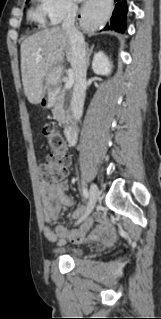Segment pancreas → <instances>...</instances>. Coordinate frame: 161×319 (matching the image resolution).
<instances>
[{
    "label": "pancreas",
    "instance_id": "pancreas-1",
    "mask_svg": "<svg viewBox=\"0 0 161 319\" xmlns=\"http://www.w3.org/2000/svg\"><path fill=\"white\" fill-rule=\"evenodd\" d=\"M64 101H65V91L62 90L57 98L56 102L53 106L52 113L54 118L60 123V124H66L69 120V116L67 114V111L64 109Z\"/></svg>",
    "mask_w": 161,
    "mask_h": 319
}]
</instances>
